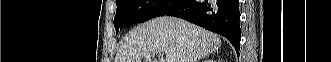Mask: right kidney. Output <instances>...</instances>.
Wrapping results in <instances>:
<instances>
[{
	"instance_id": "right-kidney-1",
	"label": "right kidney",
	"mask_w": 331,
	"mask_h": 62,
	"mask_svg": "<svg viewBox=\"0 0 331 62\" xmlns=\"http://www.w3.org/2000/svg\"><path fill=\"white\" fill-rule=\"evenodd\" d=\"M206 62H213V60H207Z\"/></svg>"
}]
</instances>
